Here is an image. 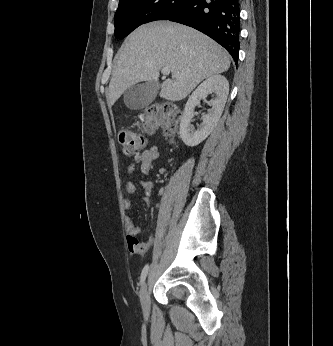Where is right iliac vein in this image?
<instances>
[{"label":"right iliac vein","mask_w":333,"mask_h":346,"mask_svg":"<svg viewBox=\"0 0 333 346\" xmlns=\"http://www.w3.org/2000/svg\"><path fill=\"white\" fill-rule=\"evenodd\" d=\"M140 302L143 315L146 319H148L150 314V293L147 282H144L140 289Z\"/></svg>","instance_id":"1"}]
</instances>
